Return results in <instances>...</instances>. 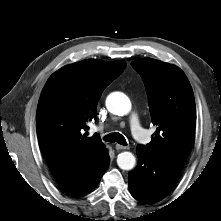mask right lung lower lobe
<instances>
[{
  "mask_svg": "<svg viewBox=\"0 0 221 221\" xmlns=\"http://www.w3.org/2000/svg\"><path fill=\"white\" fill-rule=\"evenodd\" d=\"M110 158H108L105 164L94 174L89 176L83 181H80L70 187H65L63 190L72 196H82L93 190L98 182L100 181L102 175L105 173L109 166Z\"/></svg>",
  "mask_w": 221,
  "mask_h": 221,
  "instance_id": "obj_1",
  "label": "right lung lower lobe"
}]
</instances>
